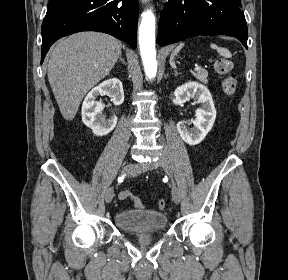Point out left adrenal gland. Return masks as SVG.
Segmentation results:
<instances>
[{
    "label": "left adrenal gland",
    "mask_w": 288,
    "mask_h": 280,
    "mask_svg": "<svg viewBox=\"0 0 288 280\" xmlns=\"http://www.w3.org/2000/svg\"><path fill=\"white\" fill-rule=\"evenodd\" d=\"M178 75V72L175 70V76H177Z\"/></svg>",
    "instance_id": "left-adrenal-gland-1"
}]
</instances>
